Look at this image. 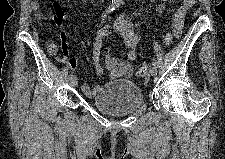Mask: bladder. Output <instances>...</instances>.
<instances>
[{
    "mask_svg": "<svg viewBox=\"0 0 225 159\" xmlns=\"http://www.w3.org/2000/svg\"><path fill=\"white\" fill-rule=\"evenodd\" d=\"M92 105L111 116L130 115L144 104L141 88L131 80H115L98 88Z\"/></svg>",
    "mask_w": 225,
    "mask_h": 159,
    "instance_id": "obj_1",
    "label": "bladder"
}]
</instances>
